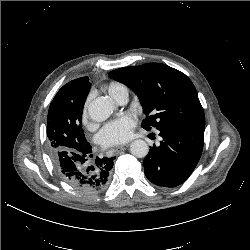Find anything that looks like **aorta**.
Segmentation results:
<instances>
[{"label": "aorta", "mask_w": 250, "mask_h": 250, "mask_svg": "<svg viewBox=\"0 0 250 250\" xmlns=\"http://www.w3.org/2000/svg\"><path fill=\"white\" fill-rule=\"evenodd\" d=\"M115 105L109 98L100 97L94 100L89 108L88 115L95 122L107 120L113 113ZM130 152L138 158H144L149 152L148 144L144 140H135L130 145Z\"/></svg>", "instance_id": "obj_1"}]
</instances>
